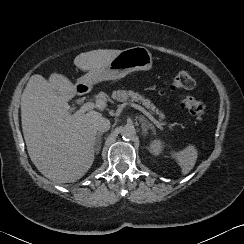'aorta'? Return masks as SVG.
<instances>
[{
  "label": "aorta",
  "mask_w": 244,
  "mask_h": 244,
  "mask_svg": "<svg viewBox=\"0 0 244 244\" xmlns=\"http://www.w3.org/2000/svg\"><path fill=\"white\" fill-rule=\"evenodd\" d=\"M120 133L123 139H131L135 136L136 130L132 125H124L120 129Z\"/></svg>",
  "instance_id": "762f6f07"
}]
</instances>
